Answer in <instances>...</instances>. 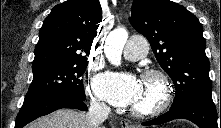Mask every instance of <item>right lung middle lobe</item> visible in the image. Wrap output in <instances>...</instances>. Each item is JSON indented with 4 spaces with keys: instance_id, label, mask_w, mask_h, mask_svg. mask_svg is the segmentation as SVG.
I'll list each match as a JSON object with an SVG mask.
<instances>
[{
    "instance_id": "1",
    "label": "right lung middle lobe",
    "mask_w": 221,
    "mask_h": 128,
    "mask_svg": "<svg viewBox=\"0 0 221 128\" xmlns=\"http://www.w3.org/2000/svg\"><path fill=\"white\" fill-rule=\"evenodd\" d=\"M88 60L61 64L33 72V80L24 102L53 93H69L85 99L83 80L80 78Z\"/></svg>"
}]
</instances>
